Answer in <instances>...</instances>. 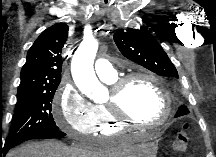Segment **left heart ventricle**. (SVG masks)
Returning <instances> with one entry per match:
<instances>
[{
  "label": "left heart ventricle",
  "instance_id": "obj_1",
  "mask_svg": "<svg viewBox=\"0 0 216 157\" xmlns=\"http://www.w3.org/2000/svg\"><path fill=\"white\" fill-rule=\"evenodd\" d=\"M126 111L134 118L155 122L164 112V100L158 88L148 80L134 79L124 93Z\"/></svg>",
  "mask_w": 216,
  "mask_h": 157
}]
</instances>
